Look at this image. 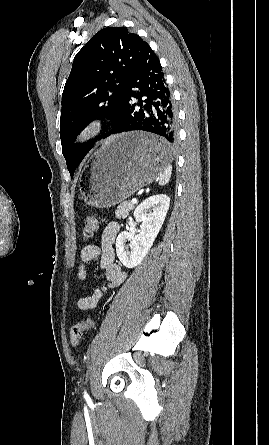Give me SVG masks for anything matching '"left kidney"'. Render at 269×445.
I'll return each mask as SVG.
<instances>
[{
    "label": "left kidney",
    "instance_id": "5707ae66",
    "mask_svg": "<svg viewBox=\"0 0 269 445\" xmlns=\"http://www.w3.org/2000/svg\"><path fill=\"white\" fill-rule=\"evenodd\" d=\"M169 205L170 198L158 194L147 198L135 209V220L141 222L139 234L121 232L116 239V253L125 267H136L147 255L164 223ZM127 241L131 243L130 251L125 244Z\"/></svg>",
    "mask_w": 269,
    "mask_h": 445
}]
</instances>
